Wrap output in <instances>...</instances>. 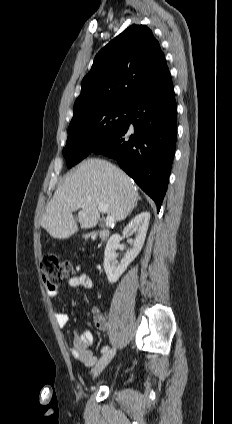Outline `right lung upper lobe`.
Segmentation results:
<instances>
[{"instance_id": "1", "label": "right lung upper lobe", "mask_w": 232, "mask_h": 424, "mask_svg": "<svg viewBox=\"0 0 232 424\" xmlns=\"http://www.w3.org/2000/svg\"><path fill=\"white\" fill-rule=\"evenodd\" d=\"M169 73L159 42L144 25H132L95 57L81 82L74 116L104 105L132 106Z\"/></svg>"}]
</instances>
